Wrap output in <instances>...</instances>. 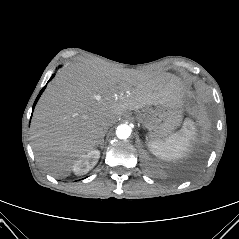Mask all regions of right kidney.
<instances>
[{"mask_svg":"<svg viewBox=\"0 0 239 239\" xmlns=\"http://www.w3.org/2000/svg\"><path fill=\"white\" fill-rule=\"evenodd\" d=\"M99 158L100 152L98 150H91L75 161L73 164V172L76 175H84L88 173L97 164Z\"/></svg>","mask_w":239,"mask_h":239,"instance_id":"obj_1","label":"right kidney"}]
</instances>
